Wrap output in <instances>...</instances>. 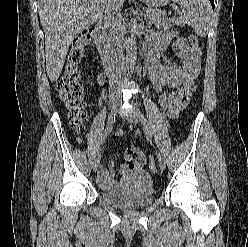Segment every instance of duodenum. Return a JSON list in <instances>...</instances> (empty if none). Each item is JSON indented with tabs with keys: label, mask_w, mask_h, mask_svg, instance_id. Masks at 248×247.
<instances>
[{
	"label": "duodenum",
	"mask_w": 248,
	"mask_h": 247,
	"mask_svg": "<svg viewBox=\"0 0 248 247\" xmlns=\"http://www.w3.org/2000/svg\"><path fill=\"white\" fill-rule=\"evenodd\" d=\"M91 32L94 36V42L100 54L103 69L109 73L113 72L116 60L107 46L105 21L97 20L91 28ZM143 57L146 58L145 55H143Z\"/></svg>",
	"instance_id": "410a0bca"
}]
</instances>
